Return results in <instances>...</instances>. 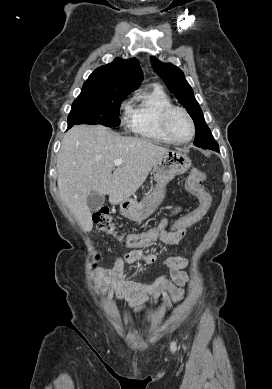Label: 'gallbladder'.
Returning a JSON list of instances; mask_svg holds the SVG:
<instances>
[{"mask_svg": "<svg viewBox=\"0 0 272 389\" xmlns=\"http://www.w3.org/2000/svg\"><path fill=\"white\" fill-rule=\"evenodd\" d=\"M105 196L91 191L87 197V205L91 212L98 211L104 204Z\"/></svg>", "mask_w": 272, "mask_h": 389, "instance_id": "bac80fb5", "label": "gallbladder"}]
</instances>
